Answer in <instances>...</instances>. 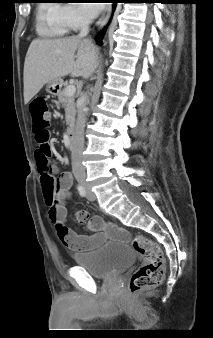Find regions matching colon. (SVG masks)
<instances>
[{"label": "colon", "mask_w": 213, "mask_h": 338, "mask_svg": "<svg viewBox=\"0 0 213 338\" xmlns=\"http://www.w3.org/2000/svg\"><path fill=\"white\" fill-rule=\"evenodd\" d=\"M29 109L33 117L35 140L39 145H44L49 140L50 133L48 128L52 121L46 101L43 98H35L30 103ZM51 157L49 152L43 151L41 148H38L35 152L44 201L48 208V216L51 222L56 224V182L52 175ZM90 227L99 229L103 227V224L94 221ZM60 231L64 232L65 229H60ZM130 242L142 261L141 265L130 277V292L136 293L145 288L158 286L165 276V258L161 247L143 235L132 237Z\"/></svg>", "instance_id": "1"}]
</instances>
